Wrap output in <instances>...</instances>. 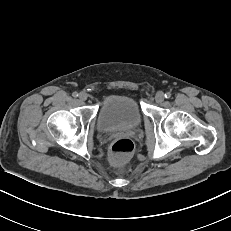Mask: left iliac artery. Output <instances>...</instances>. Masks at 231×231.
Wrapping results in <instances>:
<instances>
[{"label":"left iliac artery","instance_id":"1","mask_svg":"<svg viewBox=\"0 0 231 231\" xmlns=\"http://www.w3.org/2000/svg\"><path fill=\"white\" fill-rule=\"evenodd\" d=\"M171 97V94L169 92L165 93V98L169 99Z\"/></svg>","mask_w":231,"mask_h":231}]
</instances>
